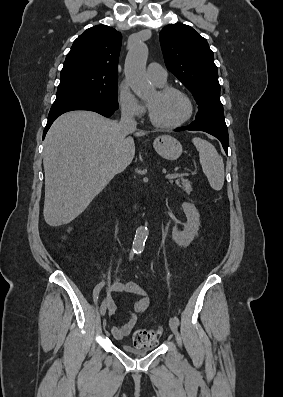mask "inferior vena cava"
<instances>
[{
    "label": "inferior vena cava",
    "mask_w": 283,
    "mask_h": 397,
    "mask_svg": "<svg viewBox=\"0 0 283 397\" xmlns=\"http://www.w3.org/2000/svg\"><path fill=\"white\" fill-rule=\"evenodd\" d=\"M119 125L125 134L136 130L137 122L135 121L134 113L131 109L126 107L121 109V120Z\"/></svg>",
    "instance_id": "602c4592"
}]
</instances>
